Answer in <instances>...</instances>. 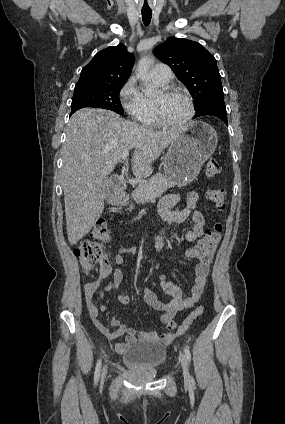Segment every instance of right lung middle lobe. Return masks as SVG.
<instances>
[{
  "instance_id": "obj_1",
  "label": "right lung middle lobe",
  "mask_w": 285,
  "mask_h": 424,
  "mask_svg": "<svg viewBox=\"0 0 285 424\" xmlns=\"http://www.w3.org/2000/svg\"><path fill=\"white\" fill-rule=\"evenodd\" d=\"M125 83L75 86L71 107L105 108L123 114L119 94Z\"/></svg>"
}]
</instances>
